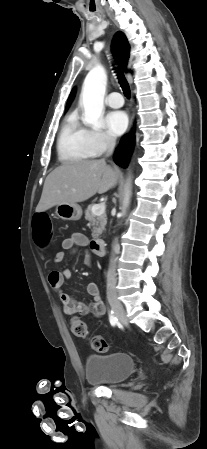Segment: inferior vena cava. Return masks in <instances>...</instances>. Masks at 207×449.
Segmentation results:
<instances>
[{
  "instance_id": "602c4592",
  "label": "inferior vena cava",
  "mask_w": 207,
  "mask_h": 449,
  "mask_svg": "<svg viewBox=\"0 0 207 449\" xmlns=\"http://www.w3.org/2000/svg\"><path fill=\"white\" fill-rule=\"evenodd\" d=\"M107 143V152L106 156H110L113 153L114 147H115V139L113 137H108L106 140ZM119 251V245L117 242L113 245V254L112 258L110 260V267H109V273H108V279H107V294H115L116 293V257L115 254H117Z\"/></svg>"
}]
</instances>
